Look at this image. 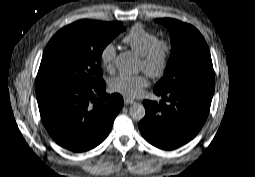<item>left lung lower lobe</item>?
<instances>
[{
	"instance_id": "left-lung-lower-lobe-1",
	"label": "left lung lower lobe",
	"mask_w": 255,
	"mask_h": 177,
	"mask_svg": "<svg viewBox=\"0 0 255 177\" xmlns=\"http://www.w3.org/2000/svg\"><path fill=\"white\" fill-rule=\"evenodd\" d=\"M214 88L215 81H197L167 92L154 90L169 104L143 102L146 115L139 122L143 137L163 150H172L190 141L207 119Z\"/></svg>"
}]
</instances>
